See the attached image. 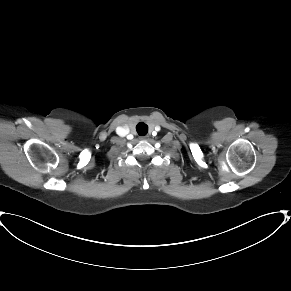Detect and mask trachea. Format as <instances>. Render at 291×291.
Masks as SVG:
<instances>
[{"mask_svg":"<svg viewBox=\"0 0 291 291\" xmlns=\"http://www.w3.org/2000/svg\"><path fill=\"white\" fill-rule=\"evenodd\" d=\"M136 129H137L138 134L145 135L148 130V126L145 123H139L136 126Z\"/></svg>","mask_w":291,"mask_h":291,"instance_id":"obj_1","label":"trachea"}]
</instances>
